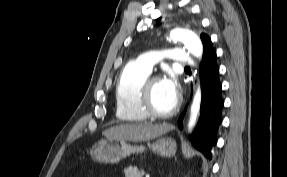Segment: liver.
<instances>
[{
  "label": "liver",
  "instance_id": "liver-1",
  "mask_svg": "<svg viewBox=\"0 0 287 177\" xmlns=\"http://www.w3.org/2000/svg\"><path fill=\"white\" fill-rule=\"evenodd\" d=\"M173 128V125L167 123L120 124L106 129L102 134L109 139L141 142L155 139Z\"/></svg>",
  "mask_w": 287,
  "mask_h": 177
}]
</instances>
